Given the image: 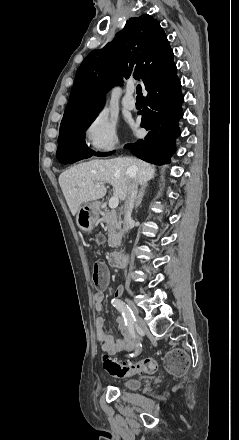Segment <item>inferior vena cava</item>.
<instances>
[{
  "mask_svg": "<svg viewBox=\"0 0 239 440\" xmlns=\"http://www.w3.org/2000/svg\"><path fill=\"white\" fill-rule=\"evenodd\" d=\"M129 170H131V168H129ZM131 174H133V170H131ZM137 190H138V182L136 178H132V180H130L128 184V190H127L128 194L124 202V220H123L124 232H128L129 230V226L131 222V214L137 198Z\"/></svg>",
  "mask_w": 239,
  "mask_h": 440,
  "instance_id": "inferior-vena-cava-1",
  "label": "inferior vena cava"
}]
</instances>
